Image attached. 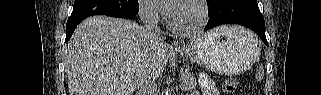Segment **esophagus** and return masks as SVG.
Segmentation results:
<instances>
[{
	"mask_svg": "<svg viewBox=\"0 0 321 95\" xmlns=\"http://www.w3.org/2000/svg\"><path fill=\"white\" fill-rule=\"evenodd\" d=\"M172 46H173V47H179L180 45L175 42V43L172 44Z\"/></svg>",
	"mask_w": 321,
	"mask_h": 95,
	"instance_id": "esophagus-1",
	"label": "esophagus"
}]
</instances>
